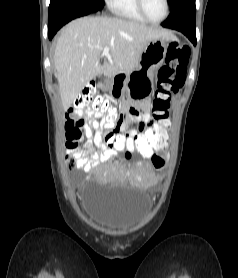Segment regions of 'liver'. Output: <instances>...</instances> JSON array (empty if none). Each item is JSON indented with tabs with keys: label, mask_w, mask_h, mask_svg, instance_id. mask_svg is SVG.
<instances>
[{
	"label": "liver",
	"mask_w": 238,
	"mask_h": 278,
	"mask_svg": "<svg viewBox=\"0 0 238 278\" xmlns=\"http://www.w3.org/2000/svg\"><path fill=\"white\" fill-rule=\"evenodd\" d=\"M174 36L159 27L111 17H82L68 23L57 39L54 67L64 110L97 75L114 77L138 67L147 45L156 39ZM109 57L100 64L101 53Z\"/></svg>",
	"instance_id": "6515ba94"
}]
</instances>
